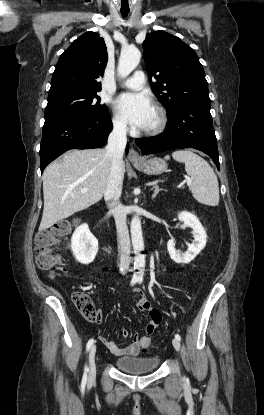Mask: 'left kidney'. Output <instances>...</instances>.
I'll use <instances>...</instances> for the list:
<instances>
[{"label": "left kidney", "instance_id": "1", "mask_svg": "<svg viewBox=\"0 0 264 415\" xmlns=\"http://www.w3.org/2000/svg\"><path fill=\"white\" fill-rule=\"evenodd\" d=\"M178 218L180 221H183L184 226L192 228L194 241L188 245V249L184 253L175 248L174 239L168 241L167 249L173 261L180 264H188L204 249L207 242V234L194 214L182 211L178 214Z\"/></svg>", "mask_w": 264, "mask_h": 415}]
</instances>
